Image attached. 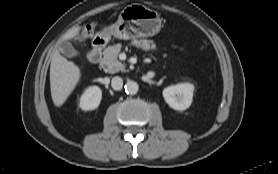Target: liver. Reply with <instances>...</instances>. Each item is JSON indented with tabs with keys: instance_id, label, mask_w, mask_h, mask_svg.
<instances>
[{
	"instance_id": "obj_1",
	"label": "liver",
	"mask_w": 278,
	"mask_h": 174,
	"mask_svg": "<svg viewBox=\"0 0 278 174\" xmlns=\"http://www.w3.org/2000/svg\"><path fill=\"white\" fill-rule=\"evenodd\" d=\"M81 26H75L68 30L63 39H74L79 35ZM81 77L80 68L65 57L59 51L53 53L50 65V88L53 103L61 107L69 95L73 92Z\"/></svg>"
}]
</instances>
